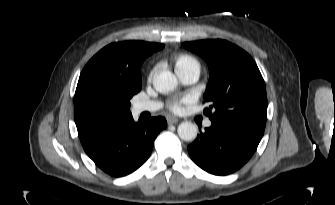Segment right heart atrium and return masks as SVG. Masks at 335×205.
Here are the masks:
<instances>
[{
	"label": "right heart atrium",
	"instance_id": "right-heart-atrium-1",
	"mask_svg": "<svg viewBox=\"0 0 335 205\" xmlns=\"http://www.w3.org/2000/svg\"><path fill=\"white\" fill-rule=\"evenodd\" d=\"M152 76H153V71L150 72V74H149V79H151Z\"/></svg>",
	"mask_w": 335,
	"mask_h": 205
}]
</instances>
